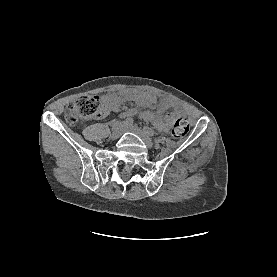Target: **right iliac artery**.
Segmentation results:
<instances>
[{"instance_id":"1","label":"right iliac artery","mask_w":277,"mask_h":277,"mask_svg":"<svg viewBox=\"0 0 277 277\" xmlns=\"http://www.w3.org/2000/svg\"><path fill=\"white\" fill-rule=\"evenodd\" d=\"M125 124H127V125H132L133 124V119L132 118H126V120H125Z\"/></svg>"}]
</instances>
